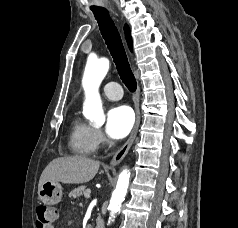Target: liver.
Returning a JSON list of instances; mask_svg holds the SVG:
<instances>
[{
  "instance_id": "1",
  "label": "liver",
  "mask_w": 238,
  "mask_h": 228,
  "mask_svg": "<svg viewBox=\"0 0 238 228\" xmlns=\"http://www.w3.org/2000/svg\"><path fill=\"white\" fill-rule=\"evenodd\" d=\"M100 162L82 156L59 157L52 160L43 170L38 190L46 181L67 184H82L97 174Z\"/></svg>"
}]
</instances>
